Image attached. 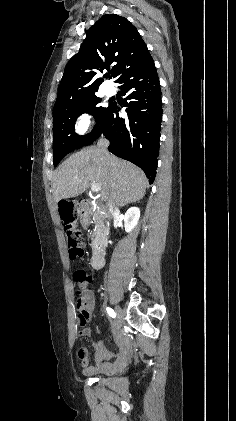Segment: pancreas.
Instances as JSON below:
<instances>
[{
    "label": "pancreas",
    "mask_w": 236,
    "mask_h": 421,
    "mask_svg": "<svg viewBox=\"0 0 236 421\" xmlns=\"http://www.w3.org/2000/svg\"><path fill=\"white\" fill-rule=\"evenodd\" d=\"M93 206H91L90 211H92ZM93 217V223L95 229H93V235H92V251L95 253L97 247V243H100V241H103L104 237H106L109 227L105 221V215L103 211H95V213H91Z\"/></svg>",
    "instance_id": "obj_1"
}]
</instances>
